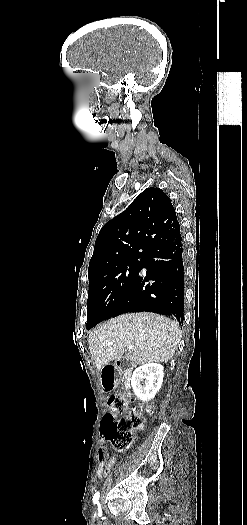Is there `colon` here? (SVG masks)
<instances>
[{"label":"colon","mask_w":247,"mask_h":525,"mask_svg":"<svg viewBox=\"0 0 247 525\" xmlns=\"http://www.w3.org/2000/svg\"><path fill=\"white\" fill-rule=\"evenodd\" d=\"M128 396L124 393H115L108 400L109 411L105 414L99 436L106 438L117 453L124 452L133 439V429L142 424L139 411L127 412ZM145 412L152 413L153 408L148 406Z\"/></svg>","instance_id":"obj_1"}]
</instances>
